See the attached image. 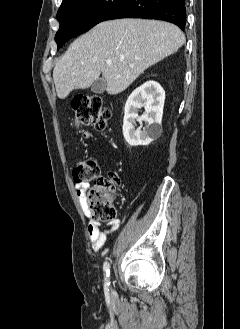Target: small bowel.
<instances>
[{"instance_id": "obj_1", "label": "small bowel", "mask_w": 240, "mask_h": 329, "mask_svg": "<svg viewBox=\"0 0 240 329\" xmlns=\"http://www.w3.org/2000/svg\"><path fill=\"white\" fill-rule=\"evenodd\" d=\"M87 188H88L87 183L75 184L74 186L80 205L86 212L88 210L86 205V196H85V191ZM118 227H119V222L114 221L110 224L109 228L105 230H101V224L97 221L91 220L88 224V235L92 243V248L95 251L100 250L106 240L107 234L114 232L115 230L118 229Z\"/></svg>"}]
</instances>
